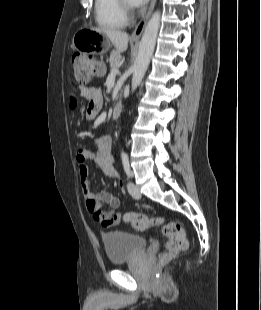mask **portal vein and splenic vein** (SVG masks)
<instances>
[{"label": "portal vein and splenic vein", "instance_id": "1", "mask_svg": "<svg viewBox=\"0 0 261 310\" xmlns=\"http://www.w3.org/2000/svg\"><path fill=\"white\" fill-rule=\"evenodd\" d=\"M118 74V68H112L109 77H115Z\"/></svg>", "mask_w": 261, "mask_h": 310}]
</instances>
